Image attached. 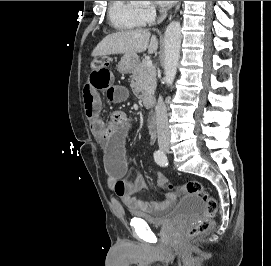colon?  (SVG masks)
<instances>
[{
    "mask_svg": "<svg viewBox=\"0 0 271 266\" xmlns=\"http://www.w3.org/2000/svg\"><path fill=\"white\" fill-rule=\"evenodd\" d=\"M109 65L110 59L108 57H99L90 63V69L108 67ZM169 188H173V186L169 185ZM176 188L183 193L200 196L205 203V212L203 216L188 231L187 238H194L207 232L212 227L217 212L218 204L216 199L209 194L204 185L199 181H189Z\"/></svg>",
    "mask_w": 271,
    "mask_h": 266,
    "instance_id": "obj_1",
    "label": "colon"
}]
</instances>
